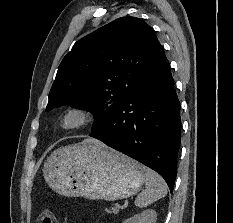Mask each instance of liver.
<instances>
[{
  "label": "liver",
  "mask_w": 233,
  "mask_h": 223,
  "mask_svg": "<svg viewBox=\"0 0 233 223\" xmlns=\"http://www.w3.org/2000/svg\"><path fill=\"white\" fill-rule=\"evenodd\" d=\"M84 141H97V143H101L98 139H93V137H89V139H84Z\"/></svg>",
  "instance_id": "6515ba94"
}]
</instances>
